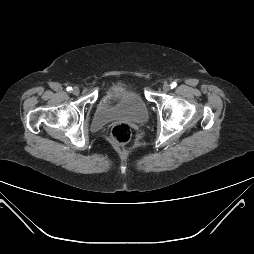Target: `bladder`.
Wrapping results in <instances>:
<instances>
[{"label": "bladder", "instance_id": "bladder-1", "mask_svg": "<svg viewBox=\"0 0 254 254\" xmlns=\"http://www.w3.org/2000/svg\"><path fill=\"white\" fill-rule=\"evenodd\" d=\"M117 101L109 104L108 98L102 100L93 117V123L99 127L118 119H126L133 122H143L148 118V107L142 97L128 90H119Z\"/></svg>", "mask_w": 254, "mask_h": 254}]
</instances>
